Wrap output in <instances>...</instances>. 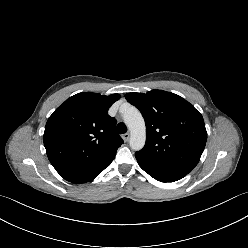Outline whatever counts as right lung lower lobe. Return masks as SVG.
I'll return each mask as SVG.
<instances>
[{"instance_id":"1","label":"right lung lower lobe","mask_w":248,"mask_h":248,"mask_svg":"<svg viewBox=\"0 0 248 248\" xmlns=\"http://www.w3.org/2000/svg\"><path fill=\"white\" fill-rule=\"evenodd\" d=\"M116 152L87 165H55L56 171L67 181L72 183L90 182L107 168L113 161Z\"/></svg>"}]
</instances>
